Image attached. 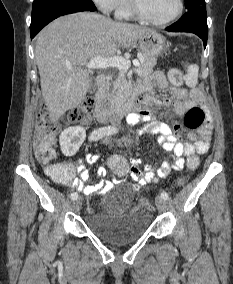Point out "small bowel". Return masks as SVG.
Segmentation results:
<instances>
[{
  "label": "small bowel",
  "instance_id": "1",
  "mask_svg": "<svg viewBox=\"0 0 233 284\" xmlns=\"http://www.w3.org/2000/svg\"><path fill=\"white\" fill-rule=\"evenodd\" d=\"M167 85L165 74L162 71H156L149 78L144 79L139 89L145 92V94L140 98V102L134 111L128 116L130 124L147 123L148 132L159 134L161 147L173 154L171 160L161 164L158 170L160 177L168 175L172 170L182 169L185 164V158L195 154L207 153L212 135L210 120H207L195 133H189L188 141L186 142L180 139V123L175 122L173 127H170L165 123L153 121L151 108L167 107L171 108L176 115H183L191 107L204 103V95L198 89L173 88L171 97H158L151 92L154 87L166 89ZM98 158V155L88 154L85 160L87 163L93 164ZM140 163L139 159L131 160L127 175L138 186L156 182V167L152 164H146L141 169ZM45 173L54 182L70 185L87 195L95 192H106L112 188L114 183L118 182L117 179H114L113 181L107 180L97 184H90L89 172L81 160L75 163L61 162L47 165ZM97 174L100 177H105L107 174L106 168L100 167Z\"/></svg>",
  "mask_w": 233,
  "mask_h": 284
}]
</instances>
